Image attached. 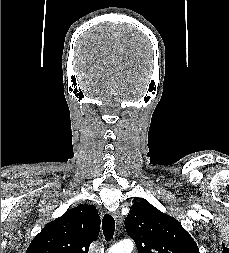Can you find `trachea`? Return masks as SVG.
I'll list each match as a JSON object with an SVG mask.
<instances>
[{"label": "trachea", "instance_id": "1", "mask_svg": "<svg viewBox=\"0 0 229 253\" xmlns=\"http://www.w3.org/2000/svg\"><path fill=\"white\" fill-rule=\"evenodd\" d=\"M102 229L105 239L110 241L113 238L115 231V220L111 215H104L102 219Z\"/></svg>", "mask_w": 229, "mask_h": 253}]
</instances>
